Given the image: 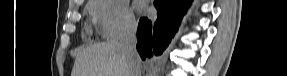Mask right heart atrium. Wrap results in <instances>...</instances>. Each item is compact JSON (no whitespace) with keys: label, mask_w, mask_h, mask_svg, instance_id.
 I'll return each instance as SVG.
<instances>
[{"label":"right heart atrium","mask_w":287,"mask_h":76,"mask_svg":"<svg viewBox=\"0 0 287 76\" xmlns=\"http://www.w3.org/2000/svg\"><path fill=\"white\" fill-rule=\"evenodd\" d=\"M91 14L101 34L107 39H118L131 34L136 28L132 10L123 0H95Z\"/></svg>","instance_id":"d8ad5b80"}]
</instances>
